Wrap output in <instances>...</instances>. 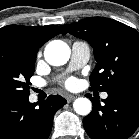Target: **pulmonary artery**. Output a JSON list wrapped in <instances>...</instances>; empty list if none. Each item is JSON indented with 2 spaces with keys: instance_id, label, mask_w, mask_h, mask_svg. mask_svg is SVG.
<instances>
[{
  "instance_id": "1",
  "label": "pulmonary artery",
  "mask_w": 139,
  "mask_h": 139,
  "mask_svg": "<svg viewBox=\"0 0 139 139\" xmlns=\"http://www.w3.org/2000/svg\"><path fill=\"white\" fill-rule=\"evenodd\" d=\"M71 60L69 64V70H76L84 66L89 60L90 47L84 41H75L72 44ZM108 94L106 92L102 93L101 97L103 99L107 98Z\"/></svg>"
}]
</instances>
